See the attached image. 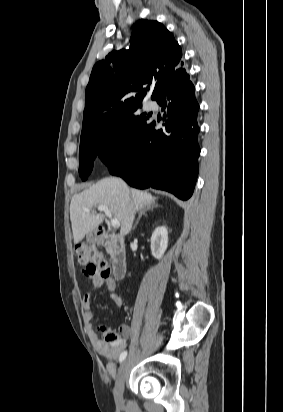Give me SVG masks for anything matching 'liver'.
Segmentation results:
<instances>
[{"label": "liver", "mask_w": 283, "mask_h": 412, "mask_svg": "<svg viewBox=\"0 0 283 412\" xmlns=\"http://www.w3.org/2000/svg\"><path fill=\"white\" fill-rule=\"evenodd\" d=\"M155 201L156 197L148 192L124 187L119 178L100 180L71 199L70 220L74 243H79L103 222L104 215L97 213L96 207H108L114 219L120 222L121 236H125L131 231L136 212L150 207ZM84 208L89 209L90 213L84 212Z\"/></svg>", "instance_id": "obj_1"}]
</instances>
